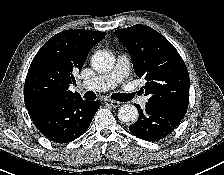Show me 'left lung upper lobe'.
Returning a JSON list of instances; mask_svg holds the SVG:
<instances>
[{"instance_id": "5c2ea615", "label": "left lung upper lobe", "mask_w": 224, "mask_h": 175, "mask_svg": "<svg viewBox=\"0 0 224 175\" xmlns=\"http://www.w3.org/2000/svg\"><path fill=\"white\" fill-rule=\"evenodd\" d=\"M115 34L127 45L136 75L147 80L148 102L187 108L190 80L175 47L146 25L116 30Z\"/></svg>"}]
</instances>
